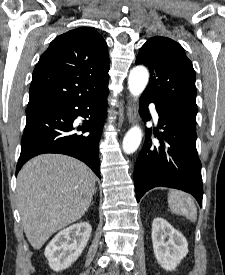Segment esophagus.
Segmentation results:
<instances>
[{"mask_svg": "<svg viewBox=\"0 0 225 275\" xmlns=\"http://www.w3.org/2000/svg\"><path fill=\"white\" fill-rule=\"evenodd\" d=\"M126 117L130 124H135L136 119V102L132 98H128L126 105Z\"/></svg>", "mask_w": 225, "mask_h": 275, "instance_id": "34e87169", "label": "esophagus"}]
</instances>
